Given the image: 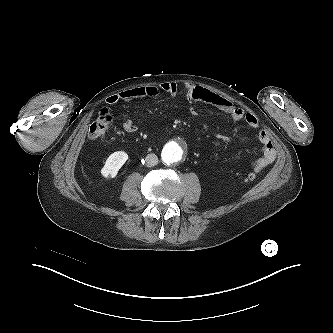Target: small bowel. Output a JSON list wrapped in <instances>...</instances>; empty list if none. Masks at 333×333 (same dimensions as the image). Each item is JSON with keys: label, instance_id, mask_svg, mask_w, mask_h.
Masks as SVG:
<instances>
[{"label": "small bowel", "instance_id": "obj_1", "mask_svg": "<svg viewBox=\"0 0 333 333\" xmlns=\"http://www.w3.org/2000/svg\"><path fill=\"white\" fill-rule=\"evenodd\" d=\"M179 91V86L175 82H164L151 87H136L124 90L107 98L108 104H115L119 101L129 102L134 99L158 98L162 95L175 96ZM183 92L191 104L202 102L210 104L220 111L230 116L234 122L244 121L250 128H259L258 118L253 114L235 106L229 100L217 95L205 88L185 84ZM192 114H196V109L191 107ZM123 128L128 133H135L138 126L131 120L123 122ZM259 142L262 145V156L251 163L254 172H260L269 166L275 159L276 151L270 135L267 131L261 130L258 134Z\"/></svg>", "mask_w": 333, "mask_h": 333}]
</instances>
